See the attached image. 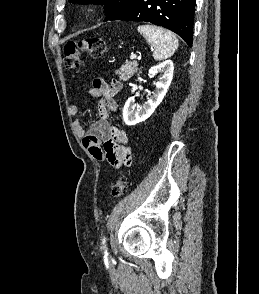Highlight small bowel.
<instances>
[{
	"label": "small bowel",
	"instance_id": "c3829d8e",
	"mask_svg": "<svg viewBox=\"0 0 259 294\" xmlns=\"http://www.w3.org/2000/svg\"><path fill=\"white\" fill-rule=\"evenodd\" d=\"M122 84L118 80L110 83L104 79H94L89 89L92 97L99 98L98 119L88 126L84 120L76 119L72 127L82 139L84 147L98 161H107L114 168L129 166L132 163V151L128 146V137L124 130L112 125L109 113L117 110L115 95L121 90ZM69 114L73 117L79 114V106L72 104Z\"/></svg>",
	"mask_w": 259,
	"mask_h": 294
}]
</instances>
